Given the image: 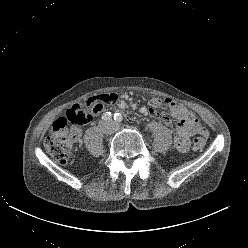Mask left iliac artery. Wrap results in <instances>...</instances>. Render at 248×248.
I'll return each instance as SVG.
<instances>
[{
	"label": "left iliac artery",
	"instance_id": "left-iliac-artery-1",
	"mask_svg": "<svg viewBox=\"0 0 248 248\" xmlns=\"http://www.w3.org/2000/svg\"><path fill=\"white\" fill-rule=\"evenodd\" d=\"M114 120L117 122H124V117L121 113H115Z\"/></svg>",
	"mask_w": 248,
	"mask_h": 248
}]
</instances>
